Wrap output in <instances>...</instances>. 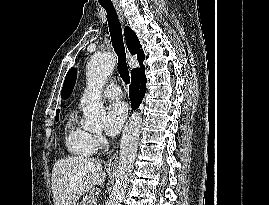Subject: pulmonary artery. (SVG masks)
<instances>
[{"mask_svg": "<svg viewBox=\"0 0 269 205\" xmlns=\"http://www.w3.org/2000/svg\"><path fill=\"white\" fill-rule=\"evenodd\" d=\"M104 95L109 99H119L122 97V91L118 85L110 84L105 88Z\"/></svg>", "mask_w": 269, "mask_h": 205, "instance_id": "e3ab8cb5", "label": "pulmonary artery"}]
</instances>
